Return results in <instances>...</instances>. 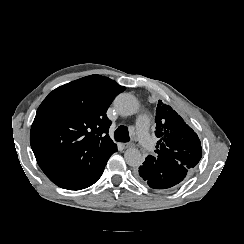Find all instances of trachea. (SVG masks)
Segmentation results:
<instances>
[{
    "mask_svg": "<svg viewBox=\"0 0 244 244\" xmlns=\"http://www.w3.org/2000/svg\"><path fill=\"white\" fill-rule=\"evenodd\" d=\"M115 139L119 142L130 141L128 129L125 126H119L115 131Z\"/></svg>",
    "mask_w": 244,
    "mask_h": 244,
    "instance_id": "3493384b",
    "label": "trachea"
}]
</instances>
